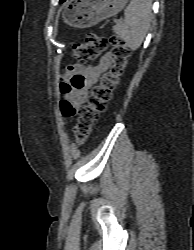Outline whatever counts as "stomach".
<instances>
[{"label": "stomach", "mask_w": 194, "mask_h": 250, "mask_svg": "<svg viewBox=\"0 0 194 250\" xmlns=\"http://www.w3.org/2000/svg\"><path fill=\"white\" fill-rule=\"evenodd\" d=\"M128 0H70L64 10V21L73 27H91L119 13Z\"/></svg>", "instance_id": "1"}]
</instances>
